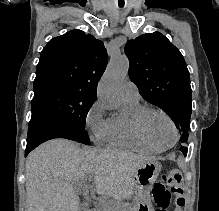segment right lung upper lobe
<instances>
[{
    "label": "right lung upper lobe",
    "instance_id": "right-lung-upper-lobe-1",
    "mask_svg": "<svg viewBox=\"0 0 219 211\" xmlns=\"http://www.w3.org/2000/svg\"><path fill=\"white\" fill-rule=\"evenodd\" d=\"M107 60L103 42L81 30L52 38L41 52L34 93L63 88L95 97Z\"/></svg>",
    "mask_w": 219,
    "mask_h": 211
}]
</instances>
